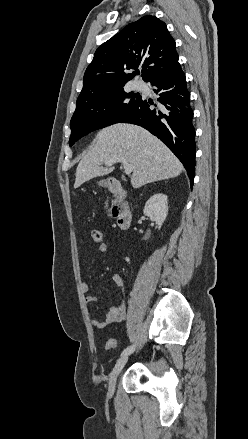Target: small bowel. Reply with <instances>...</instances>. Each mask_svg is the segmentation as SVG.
I'll use <instances>...</instances> for the list:
<instances>
[{"mask_svg":"<svg viewBox=\"0 0 248 439\" xmlns=\"http://www.w3.org/2000/svg\"><path fill=\"white\" fill-rule=\"evenodd\" d=\"M107 244L105 242L100 243L98 246V252L103 254L107 251ZM110 282L114 284L116 287H118L121 291L124 289V281L120 274L116 273L112 276L110 279ZM81 290L85 296V301L87 303H95L97 302V297L91 294H88L89 288L86 283L81 284ZM126 318V303L123 298L120 299L118 304L113 305L109 307V309L106 311L105 318L103 320H99L96 318L91 319V324L98 328L103 329L107 327L110 324H115L122 322Z\"/></svg>","mask_w":248,"mask_h":439,"instance_id":"c3829d8e","label":"small bowel"}]
</instances>
